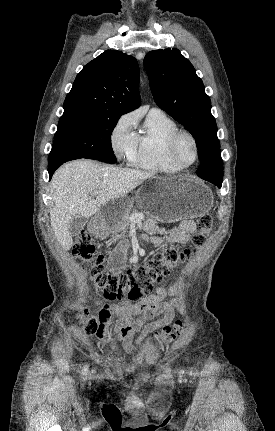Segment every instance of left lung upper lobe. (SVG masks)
I'll list each match as a JSON object with an SVG mask.
<instances>
[{"label": "left lung upper lobe", "mask_w": 275, "mask_h": 431, "mask_svg": "<svg viewBox=\"0 0 275 431\" xmlns=\"http://www.w3.org/2000/svg\"><path fill=\"white\" fill-rule=\"evenodd\" d=\"M150 88L157 105L195 138L200 165L198 176L223 177L217 125L211 101L190 61L176 48L155 50L144 58Z\"/></svg>", "instance_id": "obj_1"}]
</instances>
